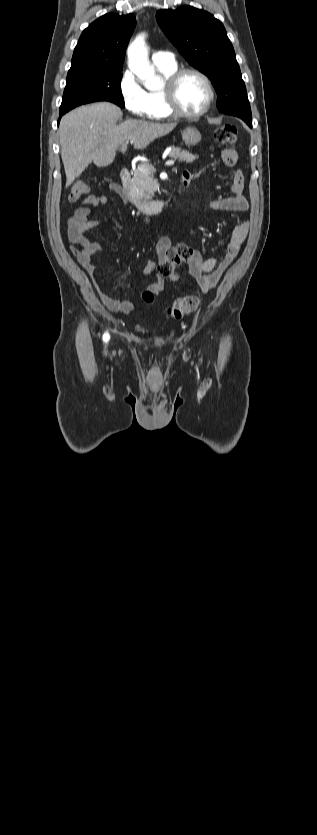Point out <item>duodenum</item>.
<instances>
[{"mask_svg":"<svg viewBox=\"0 0 317 835\" xmlns=\"http://www.w3.org/2000/svg\"><path fill=\"white\" fill-rule=\"evenodd\" d=\"M131 173L128 168H123L120 173L121 185L122 189L125 190L128 187L130 182ZM127 199L130 203H132L138 210L147 213H161L168 205L167 201H145L140 200L134 197L127 195Z\"/></svg>","mask_w":317,"mask_h":835,"instance_id":"410a0bca","label":"duodenum"}]
</instances>
